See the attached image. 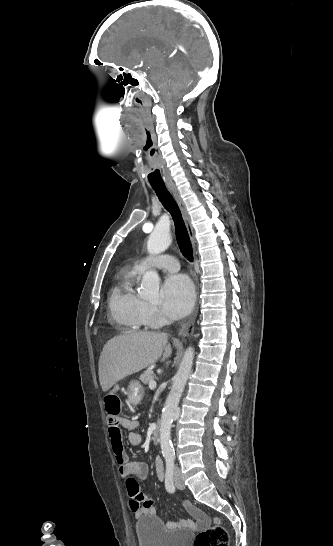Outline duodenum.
Wrapping results in <instances>:
<instances>
[{"instance_id": "duodenum-1", "label": "duodenum", "mask_w": 333, "mask_h": 546, "mask_svg": "<svg viewBox=\"0 0 333 546\" xmlns=\"http://www.w3.org/2000/svg\"><path fill=\"white\" fill-rule=\"evenodd\" d=\"M159 437H160V429H159V425L156 424L154 427H153V431H152V440L157 443L159 442Z\"/></svg>"}]
</instances>
